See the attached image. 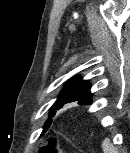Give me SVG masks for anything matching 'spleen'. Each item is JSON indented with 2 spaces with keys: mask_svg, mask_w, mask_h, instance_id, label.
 <instances>
[{
  "mask_svg": "<svg viewBox=\"0 0 130 153\" xmlns=\"http://www.w3.org/2000/svg\"><path fill=\"white\" fill-rule=\"evenodd\" d=\"M102 149L104 153H116V148L110 142V139L106 138L102 143Z\"/></svg>",
  "mask_w": 130,
  "mask_h": 153,
  "instance_id": "3e777b00",
  "label": "spleen"
}]
</instances>
